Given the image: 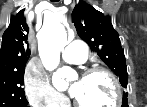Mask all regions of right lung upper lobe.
I'll use <instances>...</instances> for the list:
<instances>
[{
    "label": "right lung upper lobe",
    "mask_w": 147,
    "mask_h": 107,
    "mask_svg": "<svg viewBox=\"0 0 147 107\" xmlns=\"http://www.w3.org/2000/svg\"><path fill=\"white\" fill-rule=\"evenodd\" d=\"M24 10L11 19L5 30L0 49V74L25 68L30 57L29 28L23 17Z\"/></svg>",
    "instance_id": "obj_1"
}]
</instances>
